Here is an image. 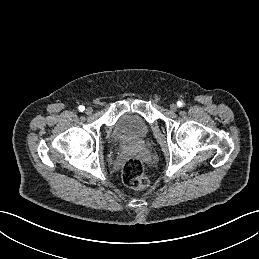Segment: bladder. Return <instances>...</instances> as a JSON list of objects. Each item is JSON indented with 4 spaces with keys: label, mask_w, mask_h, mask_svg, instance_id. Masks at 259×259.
Wrapping results in <instances>:
<instances>
[{
    "label": "bladder",
    "mask_w": 259,
    "mask_h": 259,
    "mask_svg": "<svg viewBox=\"0 0 259 259\" xmlns=\"http://www.w3.org/2000/svg\"><path fill=\"white\" fill-rule=\"evenodd\" d=\"M150 134L148 123L136 113L121 115L113 130V140L123 145H139L144 143Z\"/></svg>",
    "instance_id": "bladder-1"
}]
</instances>
